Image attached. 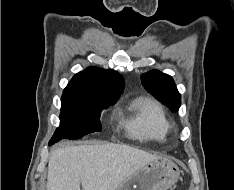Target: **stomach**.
I'll return each instance as SVG.
<instances>
[{
    "mask_svg": "<svg viewBox=\"0 0 234 190\" xmlns=\"http://www.w3.org/2000/svg\"><path fill=\"white\" fill-rule=\"evenodd\" d=\"M180 173L171 160L158 157L126 178L116 190H168L179 180Z\"/></svg>",
    "mask_w": 234,
    "mask_h": 190,
    "instance_id": "1",
    "label": "stomach"
}]
</instances>
